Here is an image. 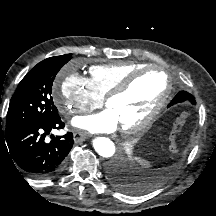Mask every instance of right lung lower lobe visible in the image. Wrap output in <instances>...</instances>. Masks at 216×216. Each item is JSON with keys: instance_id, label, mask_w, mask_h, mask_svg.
<instances>
[{"instance_id": "98d812e1", "label": "right lung lower lobe", "mask_w": 216, "mask_h": 216, "mask_svg": "<svg viewBox=\"0 0 216 216\" xmlns=\"http://www.w3.org/2000/svg\"><path fill=\"white\" fill-rule=\"evenodd\" d=\"M62 128L64 123L60 116L48 121L18 125L1 130L0 143L8 149L9 155L21 169L37 178H51L62 171L66 156L74 144L71 132L63 136L52 135L50 142L45 141V136L52 129Z\"/></svg>"}]
</instances>
